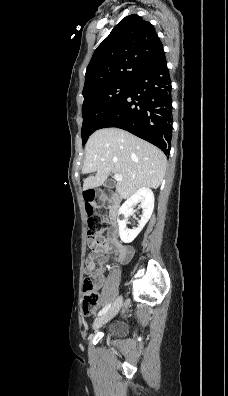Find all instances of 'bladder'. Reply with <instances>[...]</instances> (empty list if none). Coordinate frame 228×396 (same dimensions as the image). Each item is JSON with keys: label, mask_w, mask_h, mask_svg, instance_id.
Returning <instances> with one entry per match:
<instances>
[{"label": "bladder", "mask_w": 228, "mask_h": 396, "mask_svg": "<svg viewBox=\"0 0 228 396\" xmlns=\"http://www.w3.org/2000/svg\"><path fill=\"white\" fill-rule=\"evenodd\" d=\"M125 334V329L122 325H113L107 330V335L113 338L122 337Z\"/></svg>", "instance_id": "bladder-1"}]
</instances>
